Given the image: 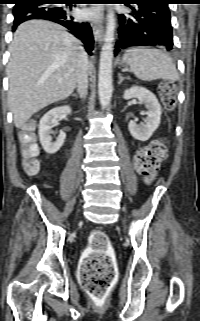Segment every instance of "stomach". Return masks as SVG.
Listing matches in <instances>:
<instances>
[{"mask_svg":"<svg viewBox=\"0 0 200 321\" xmlns=\"http://www.w3.org/2000/svg\"><path fill=\"white\" fill-rule=\"evenodd\" d=\"M120 65L125 66V63H124V62H121Z\"/></svg>","mask_w":200,"mask_h":321,"instance_id":"0dacf381","label":"stomach"}]
</instances>
